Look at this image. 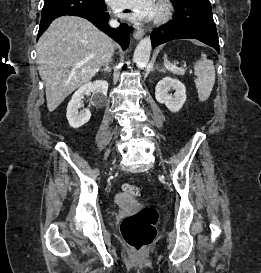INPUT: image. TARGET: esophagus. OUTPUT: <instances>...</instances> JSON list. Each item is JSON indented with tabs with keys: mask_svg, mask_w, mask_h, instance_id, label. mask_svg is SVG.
<instances>
[{
	"mask_svg": "<svg viewBox=\"0 0 261 273\" xmlns=\"http://www.w3.org/2000/svg\"><path fill=\"white\" fill-rule=\"evenodd\" d=\"M133 36L135 39L139 40L144 36V30L141 28H137L134 33Z\"/></svg>",
	"mask_w": 261,
	"mask_h": 273,
	"instance_id": "esophagus-1",
	"label": "esophagus"
}]
</instances>
